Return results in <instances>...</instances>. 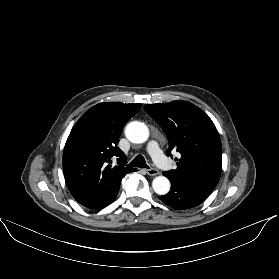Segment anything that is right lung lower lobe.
I'll return each mask as SVG.
<instances>
[{
	"label": "right lung lower lobe",
	"mask_w": 279,
	"mask_h": 279,
	"mask_svg": "<svg viewBox=\"0 0 279 279\" xmlns=\"http://www.w3.org/2000/svg\"><path fill=\"white\" fill-rule=\"evenodd\" d=\"M118 191H119V188L106 200H104L100 203L88 206V208H90V209H101V208L106 207L107 205H109L110 203H112L114 201V199L116 198V196L118 194Z\"/></svg>",
	"instance_id": "obj_1"
}]
</instances>
